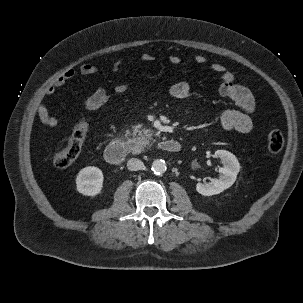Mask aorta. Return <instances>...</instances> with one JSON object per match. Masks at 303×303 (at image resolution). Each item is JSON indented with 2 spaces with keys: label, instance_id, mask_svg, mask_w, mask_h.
<instances>
[{
  "label": "aorta",
  "instance_id": "aorta-1",
  "mask_svg": "<svg viewBox=\"0 0 303 303\" xmlns=\"http://www.w3.org/2000/svg\"><path fill=\"white\" fill-rule=\"evenodd\" d=\"M167 169V166H166V162L162 159H156L153 161L152 163V171L157 174V175H160V174H163L165 173Z\"/></svg>",
  "mask_w": 303,
  "mask_h": 303
}]
</instances>
